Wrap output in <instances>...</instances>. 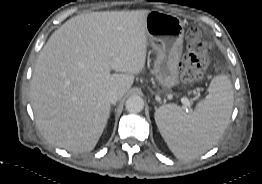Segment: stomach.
I'll return each mask as SVG.
<instances>
[{"instance_id": "obj_1", "label": "stomach", "mask_w": 262, "mask_h": 184, "mask_svg": "<svg viewBox=\"0 0 262 184\" xmlns=\"http://www.w3.org/2000/svg\"><path fill=\"white\" fill-rule=\"evenodd\" d=\"M146 36L157 53L154 74L163 91L180 83L179 61L182 55L184 24L176 15L150 11L145 19Z\"/></svg>"}]
</instances>
